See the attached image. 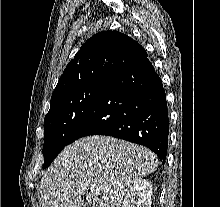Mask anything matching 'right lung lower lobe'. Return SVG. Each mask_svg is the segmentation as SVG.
Instances as JSON below:
<instances>
[{"mask_svg": "<svg viewBox=\"0 0 220 207\" xmlns=\"http://www.w3.org/2000/svg\"><path fill=\"white\" fill-rule=\"evenodd\" d=\"M168 120L162 81L146 56L108 79L69 144L89 135H108L146 146L164 163Z\"/></svg>", "mask_w": 220, "mask_h": 207, "instance_id": "right-lung-lower-lobe-1", "label": "right lung lower lobe"}]
</instances>
